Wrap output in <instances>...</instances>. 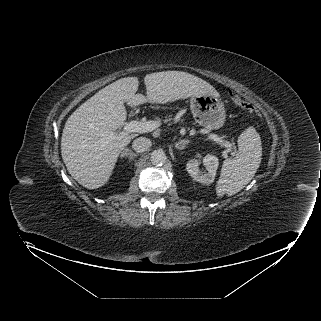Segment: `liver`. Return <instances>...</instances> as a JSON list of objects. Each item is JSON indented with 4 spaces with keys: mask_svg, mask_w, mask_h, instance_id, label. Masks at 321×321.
Masks as SVG:
<instances>
[{
    "mask_svg": "<svg viewBox=\"0 0 321 321\" xmlns=\"http://www.w3.org/2000/svg\"><path fill=\"white\" fill-rule=\"evenodd\" d=\"M146 96L136 94L137 77H125L102 88L79 106L65 123L61 155L69 174L88 189L109 180L120 152L137 134L116 130L126 120L124 103L165 104L199 95L219 96L208 82L182 71H163L144 77Z\"/></svg>",
    "mask_w": 321,
    "mask_h": 321,
    "instance_id": "obj_1",
    "label": "liver"
}]
</instances>
